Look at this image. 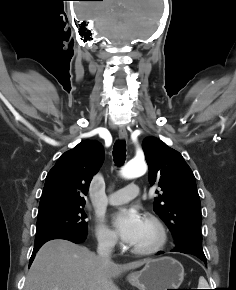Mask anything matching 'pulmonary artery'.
Masks as SVG:
<instances>
[{
  "label": "pulmonary artery",
  "instance_id": "obj_1",
  "mask_svg": "<svg viewBox=\"0 0 236 290\" xmlns=\"http://www.w3.org/2000/svg\"><path fill=\"white\" fill-rule=\"evenodd\" d=\"M139 195V188L136 184H128L123 189L110 194L107 203L110 205L123 204Z\"/></svg>",
  "mask_w": 236,
  "mask_h": 290
}]
</instances>
